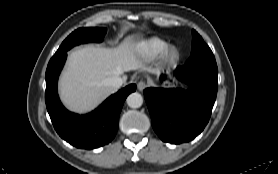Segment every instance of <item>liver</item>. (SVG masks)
I'll return each instance as SVG.
<instances>
[{
	"mask_svg": "<svg viewBox=\"0 0 278 174\" xmlns=\"http://www.w3.org/2000/svg\"><path fill=\"white\" fill-rule=\"evenodd\" d=\"M143 69L158 74L159 70L147 67L141 59L140 48L127 37L116 48L85 46L70 53L59 81V94L63 104L71 111L85 114L94 110L116 91L107 84L113 76Z\"/></svg>",
	"mask_w": 278,
	"mask_h": 174,
	"instance_id": "obj_1",
	"label": "liver"
}]
</instances>
